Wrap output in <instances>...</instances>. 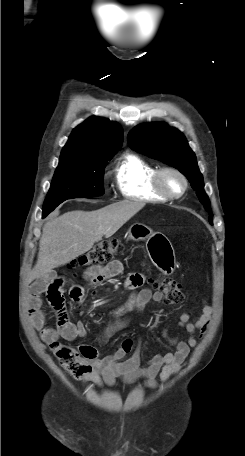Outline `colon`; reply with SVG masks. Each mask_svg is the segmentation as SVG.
<instances>
[{"instance_id": "obj_1", "label": "colon", "mask_w": 245, "mask_h": 456, "mask_svg": "<svg viewBox=\"0 0 245 456\" xmlns=\"http://www.w3.org/2000/svg\"><path fill=\"white\" fill-rule=\"evenodd\" d=\"M120 240L112 238L101 242L84 255L73 260L69 267L104 266L111 262L120 247ZM152 286L164 294L169 304H180L184 301V293L179 283L169 277H159L151 280ZM50 348L62 367L73 377L79 378L90 370L84 360V354L67 342L55 340Z\"/></svg>"}]
</instances>
